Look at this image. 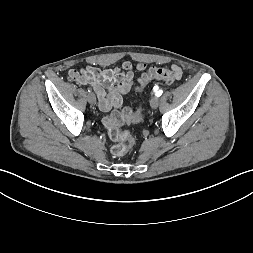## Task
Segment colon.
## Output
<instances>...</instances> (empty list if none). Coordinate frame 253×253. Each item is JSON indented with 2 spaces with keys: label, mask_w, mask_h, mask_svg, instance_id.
<instances>
[{
  "label": "colon",
  "mask_w": 253,
  "mask_h": 253,
  "mask_svg": "<svg viewBox=\"0 0 253 253\" xmlns=\"http://www.w3.org/2000/svg\"><path fill=\"white\" fill-rule=\"evenodd\" d=\"M181 76V71L176 68L152 67L145 73L137 88L142 91L145 85L151 80H161L167 84L176 82ZM144 120V113L141 110L132 111L124 108L122 111L113 113L103 119V125L107 130L109 138L117 143L112 147V154L116 157L124 155L135 143V139L128 131L121 129L124 124H139Z\"/></svg>",
  "instance_id": "5ec220e1"
}]
</instances>
